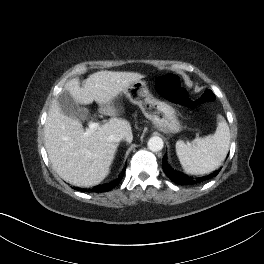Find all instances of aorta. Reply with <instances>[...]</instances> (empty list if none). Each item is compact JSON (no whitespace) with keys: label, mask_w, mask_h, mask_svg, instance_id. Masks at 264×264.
Segmentation results:
<instances>
[{"label":"aorta","mask_w":264,"mask_h":264,"mask_svg":"<svg viewBox=\"0 0 264 264\" xmlns=\"http://www.w3.org/2000/svg\"><path fill=\"white\" fill-rule=\"evenodd\" d=\"M148 149L152 152H158L161 151L163 149L164 146V142L162 140V138L158 137V136H153L148 140Z\"/></svg>","instance_id":"1"}]
</instances>
